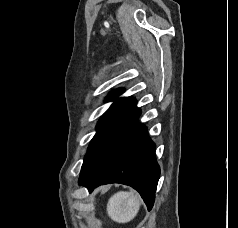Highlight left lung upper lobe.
Here are the masks:
<instances>
[{
    "mask_svg": "<svg viewBox=\"0 0 238 228\" xmlns=\"http://www.w3.org/2000/svg\"><path fill=\"white\" fill-rule=\"evenodd\" d=\"M122 92L123 89L114 90L106 98L114 102L97 124L98 130L88 147L80 177L89 176L98 167L117 133L138 110L134 98H117Z\"/></svg>",
    "mask_w": 238,
    "mask_h": 228,
    "instance_id": "1",
    "label": "left lung upper lobe"
}]
</instances>
